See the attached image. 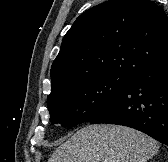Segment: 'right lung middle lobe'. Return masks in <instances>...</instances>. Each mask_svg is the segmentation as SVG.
<instances>
[{"label":"right lung middle lobe","mask_w":168,"mask_h":162,"mask_svg":"<svg viewBox=\"0 0 168 162\" xmlns=\"http://www.w3.org/2000/svg\"><path fill=\"white\" fill-rule=\"evenodd\" d=\"M130 78L125 74H106L74 82L51 92L47 99L50 122L73 127L92 121Z\"/></svg>","instance_id":"dd1d6c3e"}]
</instances>
